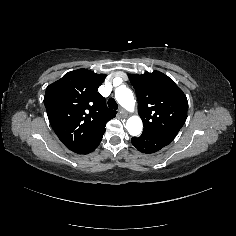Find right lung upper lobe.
Masks as SVG:
<instances>
[{
  "label": "right lung upper lobe",
  "mask_w": 236,
  "mask_h": 236,
  "mask_svg": "<svg viewBox=\"0 0 236 236\" xmlns=\"http://www.w3.org/2000/svg\"><path fill=\"white\" fill-rule=\"evenodd\" d=\"M106 75L87 69L65 74L50 84L44 96L49 122L61 142L70 150L92 142L105 132L116 116L98 92Z\"/></svg>",
  "instance_id": "right-lung-upper-lobe-1"
}]
</instances>
